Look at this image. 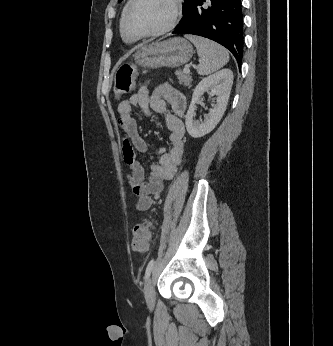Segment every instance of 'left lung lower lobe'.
<instances>
[{"instance_id": "obj_1", "label": "left lung lower lobe", "mask_w": 333, "mask_h": 346, "mask_svg": "<svg viewBox=\"0 0 333 346\" xmlns=\"http://www.w3.org/2000/svg\"><path fill=\"white\" fill-rule=\"evenodd\" d=\"M172 33L194 34L226 47L240 66L243 57L241 0H191Z\"/></svg>"}]
</instances>
